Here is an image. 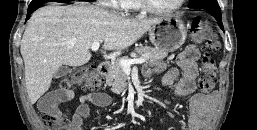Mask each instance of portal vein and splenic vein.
<instances>
[{"label":"portal vein and splenic vein","instance_id":"obj_1","mask_svg":"<svg viewBox=\"0 0 257 130\" xmlns=\"http://www.w3.org/2000/svg\"><path fill=\"white\" fill-rule=\"evenodd\" d=\"M99 47H100V42H94L91 45V50L97 51L99 49ZM119 62H120V65H121L123 71L129 72L131 70V65L142 64V63L146 62V58L140 57V58H136V59H121Z\"/></svg>","mask_w":257,"mask_h":130}]
</instances>
